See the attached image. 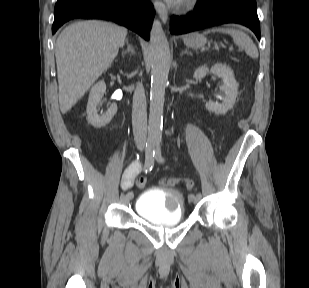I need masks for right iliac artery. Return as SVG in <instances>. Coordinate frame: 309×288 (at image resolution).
I'll use <instances>...</instances> for the list:
<instances>
[{"label":"right iliac artery","instance_id":"82829eb1","mask_svg":"<svg viewBox=\"0 0 309 288\" xmlns=\"http://www.w3.org/2000/svg\"><path fill=\"white\" fill-rule=\"evenodd\" d=\"M155 146H156V140L149 138L146 142V148H145V164L143 165V170L151 171L152 167L154 165V154H155ZM127 194L130 197L134 196V193L132 190H128Z\"/></svg>","mask_w":309,"mask_h":288}]
</instances>
